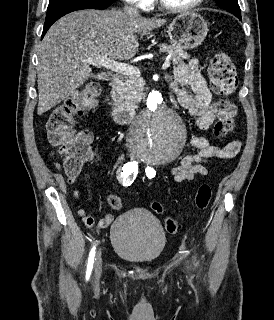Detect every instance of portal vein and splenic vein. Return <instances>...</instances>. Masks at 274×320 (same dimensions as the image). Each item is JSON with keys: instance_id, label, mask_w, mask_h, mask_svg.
Segmentation results:
<instances>
[{"instance_id": "1", "label": "portal vein and splenic vein", "mask_w": 274, "mask_h": 320, "mask_svg": "<svg viewBox=\"0 0 274 320\" xmlns=\"http://www.w3.org/2000/svg\"><path fill=\"white\" fill-rule=\"evenodd\" d=\"M86 64H92V66H102L106 70H112V72H119V74H125V76H140L141 72L138 68L134 66H129V64H122V62H115L107 56H97V58H87V60H82ZM170 58H166L163 68H169Z\"/></svg>"}]
</instances>
